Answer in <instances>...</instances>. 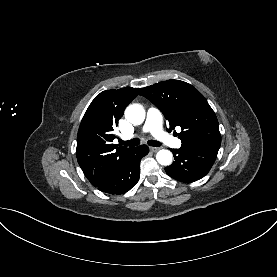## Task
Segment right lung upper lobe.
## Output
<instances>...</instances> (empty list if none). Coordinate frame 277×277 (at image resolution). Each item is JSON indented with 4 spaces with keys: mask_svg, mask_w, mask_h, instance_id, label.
Here are the masks:
<instances>
[{
    "mask_svg": "<svg viewBox=\"0 0 277 277\" xmlns=\"http://www.w3.org/2000/svg\"><path fill=\"white\" fill-rule=\"evenodd\" d=\"M140 90L125 87L103 91L83 116L77 135L76 155L83 173L95 187L106 180L134 149L113 144V130Z\"/></svg>",
    "mask_w": 277,
    "mask_h": 277,
    "instance_id": "1",
    "label": "right lung upper lobe"
}]
</instances>
